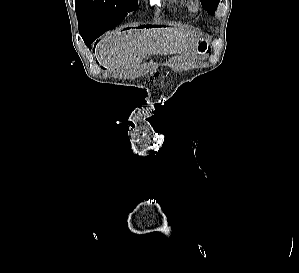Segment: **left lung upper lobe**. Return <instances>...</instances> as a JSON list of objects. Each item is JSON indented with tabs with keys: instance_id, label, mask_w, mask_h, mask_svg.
I'll return each mask as SVG.
<instances>
[{
	"instance_id": "obj_1",
	"label": "left lung upper lobe",
	"mask_w": 299,
	"mask_h": 273,
	"mask_svg": "<svg viewBox=\"0 0 299 273\" xmlns=\"http://www.w3.org/2000/svg\"><path fill=\"white\" fill-rule=\"evenodd\" d=\"M203 8L209 13L214 14L220 0H200Z\"/></svg>"
}]
</instances>
